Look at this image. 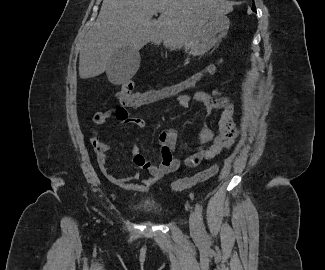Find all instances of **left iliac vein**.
<instances>
[{
  "label": "left iliac vein",
  "mask_w": 325,
  "mask_h": 270,
  "mask_svg": "<svg viewBox=\"0 0 325 270\" xmlns=\"http://www.w3.org/2000/svg\"><path fill=\"white\" fill-rule=\"evenodd\" d=\"M189 227H190V232L193 235L199 234L197 215L193 211H191L190 216H189Z\"/></svg>",
  "instance_id": "obj_1"
}]
</instances>
